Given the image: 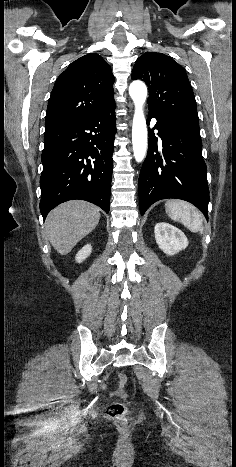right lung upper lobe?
Listing matches in <instances>:
<instances>
[{
    "label": "right lung upper lobe",
    "mask_w": 236,
    "mask_h": 467,
    "mask_svg": "<svg viewBox=\"0 0 236 467\" xmlns=\"http://www.w3.org/2000/svg\"><path fill=\"white\" fill-rule=\"evenodd\" d=\"M114 76L103 58L90 53L56 80L46 112L45 133L80 123L115 104Z\"/></svg>",
    "instance_id": "right-lung-upper-lobe-1"
}]
</instances>
